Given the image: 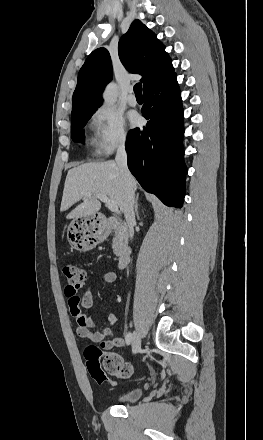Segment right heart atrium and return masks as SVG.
Returning <instances> with one entry per match:
<instances>
[{"mask_svg": "<svg viewBox=\"0 0 263 440\" xmlns=\"http://www.w3.org/2000/svg\"><path fill=\"white\" fill-rule=\"evenodd\" d=\"M94 145L102 154H111L128 142V133L121 114L114 109L102 106L93 116Z\"/></svg>", "mask_w": 263, "mask_h": 440, "instance_id": "right-heart-atrium-1", "label": "right heart atrium"}]
</instances>
